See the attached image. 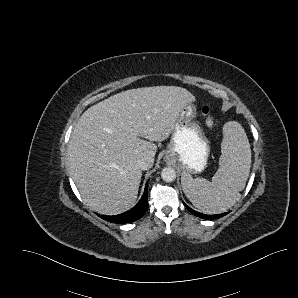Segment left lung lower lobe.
I'll use <instances>...</instances> for the list:
<instances>
[{"label": "left lung lower lobe", "instance_id": "0a47b994", "mask_svg": "<svg viewBox=\"0 0 298 298\" xmlns=\"http://www.w3.org/2000/svg\"><path fill=\"white\" fill-rule=\"evenodd\" d=\"M183 204L192 214H194L200 218H203V219H215V218H219V217H222L227 214V213H223V214H216V215H205V214L194 211L193 209L188 207L184 202H183Z\"/></svg>", "mask_w": 298, "mask_h": 298}]
</instances>
